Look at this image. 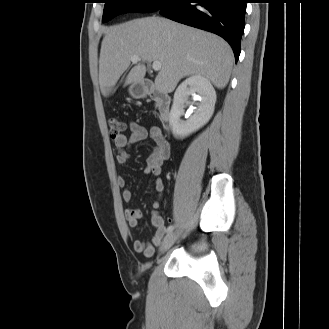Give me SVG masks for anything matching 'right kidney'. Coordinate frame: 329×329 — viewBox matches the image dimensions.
<instances>
[{
    "instance_id": "right-kidney-1",
    "label": "right kidney",
    "mask_w": 329,
    "mask_h": 329,
    "mask_svg": "<svg viewBox=\"0 0 329 329\" xmlns=\"http://www.w3.org/2000/svg\"><path fill=\"white\" fill-rule=\"evenodd\" d=\"M197 94L198 107L187 121H181L183 107L189 97ZM216 92L209 80L194 75L184 80L174 93L173 105L169 114V122L175 137L184 138L204 126L214 112Z\"/></svg>"
}]
</instances>
